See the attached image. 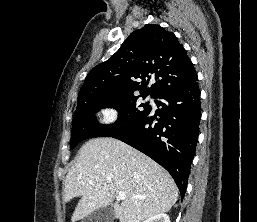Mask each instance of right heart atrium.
Listing matches in <instances>:
<instances>
[{
  "instance_id": "d8ad5b80",
  "label": "right heart atrium",
  "mask_w": 257,
  "mask_h": 222,
  "mask_svg": "<svg viewBox=\"0 0 257 222\" xmlns=\"http://www.w3.org/2000/svg\"><path fill=\"white\" fill-rule=\"evenodd\" d=\"M118 116H119V111H118V109H113V110L107 112V120H108L109 122H114V121H116L117 118H118Z\"/></svg>"
}]
</instances>
